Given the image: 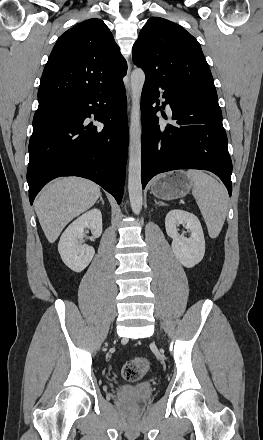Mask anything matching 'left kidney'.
I'll return each instance as SVG.
<instances>
[{
	"mask_svg": "<svg viewBox=\"0 0 263 440\" xmlns=\"http://www.w3.org/2000/svg\"><path fill=\"white\" fill-rule=\"evenodd\" d=\"M190 231V237L178 233L179 225ZM167 235L173 239L172 251L177 260L187 268L197 265L205 254V239L199 219L192 213L184 210H171L165 218Z\"/></svg>",
	"mask_w": 263,
	"mask_h": 440,
	"instance_id": "left-kidney-1",
	"label": "left kidney"
}]
</instances>
